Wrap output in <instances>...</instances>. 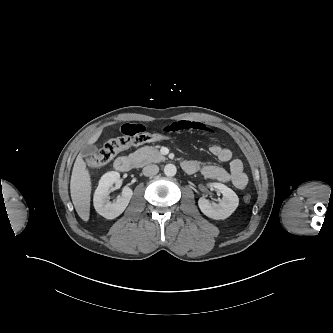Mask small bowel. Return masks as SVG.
I'll return each instance as SVG.
<instances>
[{
	"label": "small bowel",
	"mask_w": 333,
	"mask_h": 333,
	"mask_svg": "<svg viewBox=\"0 0 333 333\" xmlns=\"http://www.w3.org/2000/svg\"><path fill=\"white\" fill-rule=\"evenodd\" d=\"M163 131L166 133L192 134L198 133L208 138H213L215 133L212 129L204 124L193 121H176L164 126ZM146 131L144 125L135 123H126L121 127V133L125 136H135ZM211 153L221 162H229V168L217 165H201L193 160L184 161L186 167L184 170L188 173L200 172L208 179H214L219 182H231L237 189H244L248 184V177L244 171L241 160L233 159L232 152L228 148L213 144L210 147Z\"/></svg>",
	"instance_id": "small-bowel-1"
}]
</instances>
